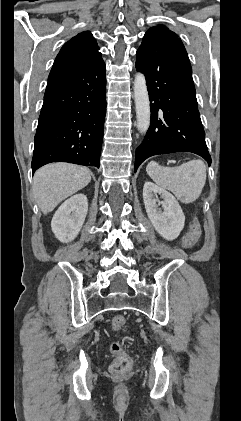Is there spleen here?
I'll return each instance as SVG.
<instances>
[{
	"instance_id": "1",
	"label": "spleen",
	"mask_w": 241,
	"mask_h": 421,
	"mask_svg": "<svg viewBox=\"0 0 241 421\" xmlns=\"http://www.w3.org/2000/svg\"><path fill=\"white\" fill-rule=\"evenodd\" d=\"M146 171L158 186L171 191L185 204L199 198L206 181V165L202 160H190L173 168L152 161Z\"/></svg>"
}]
</instances>
